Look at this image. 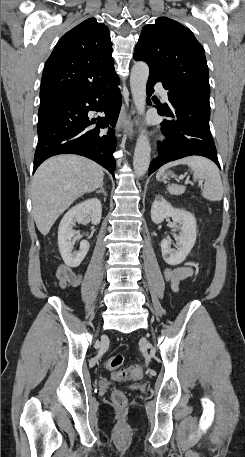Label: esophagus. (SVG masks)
Returning <instances> with one entry per match:
<instances>
[{"label": "esophagus", "instance_id": "esophagus-1", "mask_svg": "<svg viewBox=\"0 0 245 457\" xmlns=\"http://www.w3.org/2000/svg\"><path fill=\"white\" fill-rule=\"evenodd\" d=\"M117 130L125 131L129 138H133L134 136L133 123L131 122L130 117L126 112L125 106H122L121 108V112L117 122Z\"/></svg>", "mask_w": 245, "mask_h": 457}]
</instances>
